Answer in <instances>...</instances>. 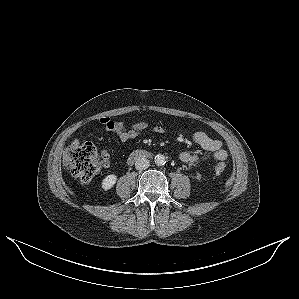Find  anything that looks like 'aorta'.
<instances>
[{
    "instance_id": "obj_1",
    "label": "aorta",
    "mask_w": 299,
    "mask_h": 299,
    "mask_svg": "<svg viewBox=\"0 0 299 299\" xmlns=\"http://www.w3.org/2000/svg\"><path fill=\"white\" fill-rule=\"evenodd\" d=\"M155 163L158 165V166H161V165H164L166 163L165 161V157L163 155H157L155 157Z\"/></svg>"
}]
</instances>
